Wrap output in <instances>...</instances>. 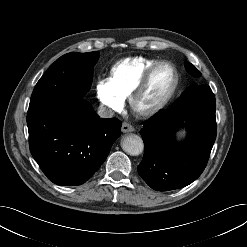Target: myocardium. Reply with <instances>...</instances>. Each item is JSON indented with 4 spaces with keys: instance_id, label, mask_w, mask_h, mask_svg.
<instances>
[{
    "instance_id": "myocardium-1",
    "label": "myocardium",
    "mask_w": 247,
    "mask_h": 247,
    "mask_svg": "<svg viewBox=\"0 0 247 247\" xmlns=\"http://www.w3.org/2000/svg\"><path fill=\"white\" fill-rule=\"evenodd\" d=\"M162 65H168L171 67V69L174 72V81L167 92V94L164 96V98L158 102L155 106L151 107L150 109L140 111L137 109V102L141 95L143 94L145 88L147 87L149 80L152 76V74ZM180 82V74L176 68V66L171 63L170 61L161 60L157 61L153 65H151L149 68L145 70V72L142 74L136 85L134 86L133 90L131 91L130 95L128 96L129 106L131 111L136 114L140 118H149L157 113H159L162 109L165 108V106L170 102V100L173 98Z\"/></svg>"
}]
</instances>
